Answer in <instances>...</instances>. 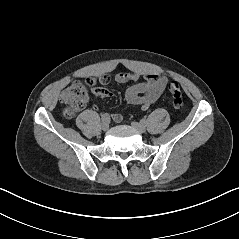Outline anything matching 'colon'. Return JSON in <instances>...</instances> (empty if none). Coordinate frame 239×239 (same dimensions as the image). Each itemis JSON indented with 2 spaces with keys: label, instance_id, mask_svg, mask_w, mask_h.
Segmentation results:
<instances>
[{
  "label": "colon",
  "instance_id": "colon-1",
  "mask_svg": "<svg viewBox=\"0 0 239 239\" xmlns=\"http://www.w3.org/2000/svg\"><path fill=\"white\" fill-rule=\"evenodd\" d=\"M86 84L89 87H93L96 85V82L93 78H90L86 81ZM87 86L82 82L77 81L62 92L61 101L65 105V117L72 118L75 113L84 108L88 100ZM168 90L172 97L174 107L181 108L184 99L179 84L175 81L170 82Z\"/></svg>",
  "mask_w": 239,
  "mask_h": 239
}]
</instances>
